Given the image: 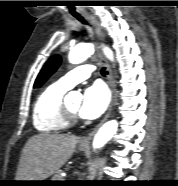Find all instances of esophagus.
<instances>
[{"mask_svg":"<svg viewBox=\"0 0 178 186\" xmlns=\"http://www.w3.org/2000/svg\"><path fill=\"white\" fill-rule=\"evenodd\" d=\"M88 20L91 22V24L93 25L96 35L100 41V43H103L104 40V34L102 31V28L99 24V22L96 20L95 17L88 15L87 16ZM99 59L100 62L105 66L106 68V76L108 79V84L110 86L111 89V93H112V99H111V103L109 105L108 111L106 113V115L104 116V118L102 119V121L86 136L81 140L82 144H88L92 138V136L95 134V132L99 129V127L109 118L111 111H112V107H113V103H114V98H115V91H114V85H113V78H112V73H111V69L110 66L107 62V60L105 59V57L103 56L101 49L99 48Z\"/></svg>","mask_w":178,"mask_h":186,"instance_id":"1","label":"esophagus"}]
</instances>
